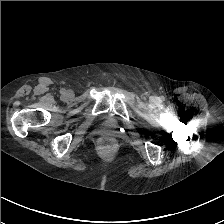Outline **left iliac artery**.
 I'll use <instances>...</instances> for the list:
<instances>
[{"mask_svg": "<svg viewBox=\"0 0 224 224\" xmlns=\"http://www.w3.org/2000/svg\"><path fill=\"white\" fill-rule=\"evenodd\" d=\"M160 100H161V101H163V100H164V98H163V97H161V98H160Z\"/></svg>", "mask_w": 224, "mask_h": 224, "instance_id": "left-iliac-artery-1", "label": "left iliac artery"}]
</instances>
